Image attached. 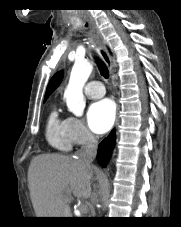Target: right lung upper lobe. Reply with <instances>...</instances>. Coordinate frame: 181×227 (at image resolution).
<instances>
[{
	"instance_id": "cb5924a9",
	"label": "right lung upper lobe",
	"mask_w": 181,
	"mask_h": 227,
	"mask_svg": "<svg viewBox=\"0 0 181 227\" xmlns=\"http://www.w3.org/2000/svg\"><path fill=\"white\" fill-rule=\"evenodd\" d=\"M61 81H62V72L60 71L51 78L47 86V91L45 93L44 100H46L49 97V95L58 87Z\"/></svg>"
}]
</instances>
